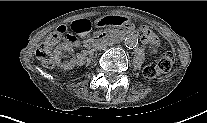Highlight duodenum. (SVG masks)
<instances>
[{
  "label": "duodenum",
  "instance_id": "obj_1",
  "mask_svg": "<svg viewBox=\"0 0 207 123\" xmlns=\"http://www.w3.org/2000/svg\"><path fill=\"white\" fill-rule=\"evenodd\" d=\"M125 31L121 32H106L95 36L94 38L88 40L85 43L86 47H93L102 42H112L120 38Z\"/></svg>",
  "mask_w": 207,
  "mask_h": 123
}]
</instances>
